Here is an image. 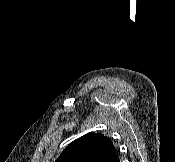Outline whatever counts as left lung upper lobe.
<instances>
[{
    "label": "left lung upper lobe",
    "mask_w": 175,
    "mask_h": 162,
    "mask_svg": "<svg viewBox=\"0 0 175 162\" xmlns=\"http://www.w3.org/2000/svg\"><path fill=\"white\" fill-rule=\"evenodd\" d=\"M114 151L108 137L90 132L70 143L55 162H105Z\"/></svg>",
    "instance_id": "left-lung-upper-lobe-1"
}]
</instances>
